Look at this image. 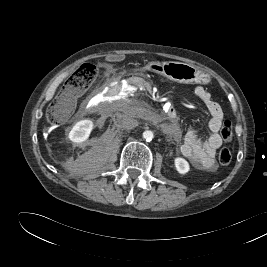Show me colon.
Masks as SVG:
<instances>
[{
    "label": "colon",
    "instance_id": "obj_1",
    "mask_svg": "<svg viewBox=\"0 0 267 267\" xmlns=\"http://www.w3.org/2000/svg\"><path fill=\"white\" fill-rule=\"evenodd\" d=\"M97 75L98 69L95 65H81L66 81L62 91L52 103L47 113L48 122L51 124H59L69 117L75 109L77 99L92 85ZM221 136L225 142L232 141L233 131L230 121L224 122L221 129ZM218 159L222 165L230 164L232 160L231 151L228 148L221 149Z\"/></svg>",
    "mask_w": 267,
    "mask_h": 267
}]
</instances>
